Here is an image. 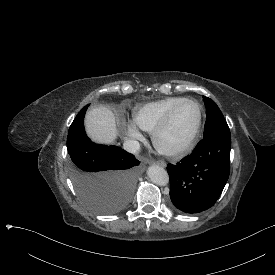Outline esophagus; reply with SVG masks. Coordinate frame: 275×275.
<instances>
[{"instance_id": "1", "label": "esophagus", "mask_w": 275, "mask_h": 275, "mask_svg": "<svg viewBox=\"0 0 275 275\" xmlns=\"http://www.w3.org/2000/svg\"><path fill=\"white\" fill-rule=\"evenodd\" d=\"M145 162L150 163L148 160H145ZM155 163H156V165H159L161 167H164V168L166 167V163L163 160H157Z\"/></svg>"}]
</instances>
